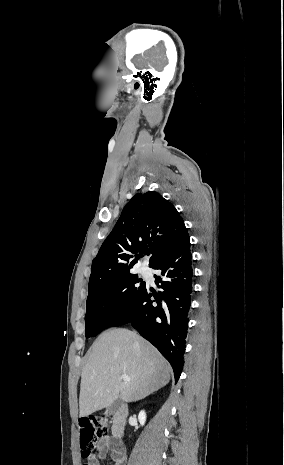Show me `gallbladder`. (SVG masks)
Returning <instances> with one entry per match:
<instances>
[{"label":"gallbladder","mask_w":284,"mask_h":465,"mask_svg":"<svg viewBox=\"0 0 284 465\" xmlns=\"http://www.w3.org/2000/svg\"><path fill=\"white\" fill-rule=\"evenodd\" d=\"M121 405H122V399H116V401H114V403H112V405L108 407L106 415H114L116 411H119Z\"/></svg>","instance_id":"obj_1"}]
</instances>
